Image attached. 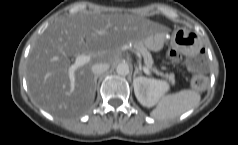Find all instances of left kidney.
<instances>
[{
  "mask_svg": "<svg viewBox=\"0 0 238 145\" xmlns=\"http://www.w3.org/2000/svg\"><path fill=\"white\" fill-rule=\"evenodd\" d=\"M133 87L137 100L145 107L154 106L158 99L170 89L165 81L143 76L133 79Z\"/></svg>",
  "mask_w": 238,
  "mask_h": 145,
  "instance_id": "1",
  "label": "left kidney"
}]
</instances>
